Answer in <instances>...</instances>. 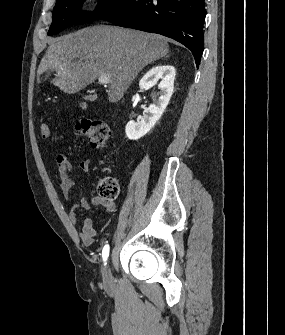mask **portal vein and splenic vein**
Instances as JSON below:
<instances>
[{
  "instance_id": "portal-vein-and-splenic-vein-1",
  "label": "portal vein and splenic vein",
  "mask_w": 285,
  "mask_h": 335,
  "mask_svg": "<svg viewBox=\"0 0 285 335\" xmlns=\"http://www.w3.org/2000/svg\"><path fill=\"white\" fill-rule=\"evenodd\" d=\"M98 82H100V84H109L110 76H107V74H104V76H99Z\"/></svg>"
}]
</instances>
